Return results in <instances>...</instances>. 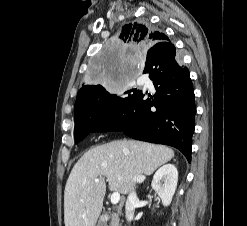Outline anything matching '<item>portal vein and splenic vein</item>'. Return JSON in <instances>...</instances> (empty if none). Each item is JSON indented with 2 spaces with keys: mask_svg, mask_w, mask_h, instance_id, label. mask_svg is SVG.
<instances>
[{
  "mask_svg": "<svg viewBox=\"0 0 247 226\" xmlns=\"http://www.w3.org/2000/svg\"><path fill=\"white\" fill-rule=\"evenodd\" d=\"M96 183L99 182V179L94 180ZM120 201V193L119 192H114L111 195V203L112 204H117Z\"/></svg>",
  "mask_w": 247,
  "mask_h": 226,
  "instance_id": "1",
  "label": "portal vein and splenic vein"
}]
</instances>
